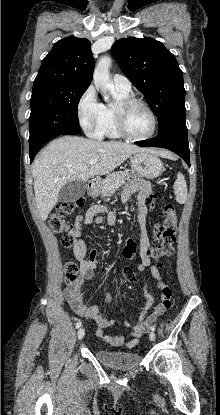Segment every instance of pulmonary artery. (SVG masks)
<instances>
[{
	"label": "pulmonary artery",
	"mask_w": 220,
	"mask_h": 415,
	"mask_svg": "<svg viewBox=\"0 0 220 415\" xmlns=\"http://www.w3.org/2000/svg\"><path fill=\"white\" fill-rule=\"evenodd\" d=\"M114 89L118 92L127 94L131 91V83L129 79L123 75L115 74L113 76Z\"/></svg>",
	"instance_id": "1"
}]
</instances>
